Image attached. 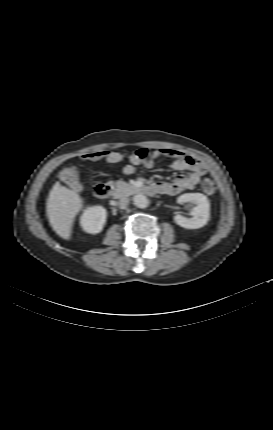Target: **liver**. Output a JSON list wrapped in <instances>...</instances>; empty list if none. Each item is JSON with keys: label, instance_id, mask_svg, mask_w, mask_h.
Instances as JSON below:
<instances>
[{"label": "liver", "instance_id": "1", "mask_svg": "<svg viewBox=\"0 0 273 430\" xmlns=\"http://www.w3.org/2000/svg\"><path fill=\"white\" fill-rule=\"evenodd\" d=\"M46 207L53 230L63 239L69 240L75 217L83 208L81 196L56 182L49 193Z\"/></svg>", "mask_w": 273, "mask_h": 430}]
</instances>
